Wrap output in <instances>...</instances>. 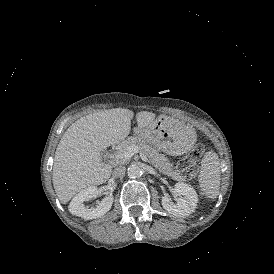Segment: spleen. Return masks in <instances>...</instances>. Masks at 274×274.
<instances>
[{
    "label": "spleen",
    "mask_w": 274,
    "mask_h": 274,
    "mask_svg": "<svg viewBox=\"0 0 274 274\" xmlns=\"http://www.w3.org/2000/svg\"><path fill=\"white\" fill-rule=\"evenodd\" d=\"M221 180L220 161L217 153L206 152L201 161L199 186L201 194L214 199L219 194Z\"/></svg>",
    "instance_id": "obj_1"
}]
</instances>
